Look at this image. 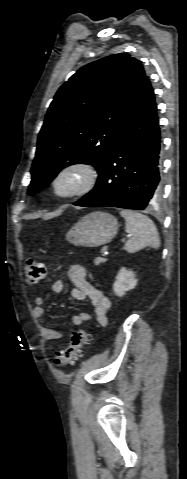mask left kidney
<instances>
[{"instance_id": "left-kidney-1", "label": "left kidney", "mask_w": 187, "mask_h": 479, "mask_svg": "<svg viewBox=\"0 0 187 479\" xmlns=\"http://www.w3.org/2000/svg\"><path fill=\"white\" fill-rule=\"evenodd\" d=\"M136 285L137 279L134 272L121 268L113 284V291L115 295L122 297L127 291L134 289Z\"/></svg>"}]
</instances>
